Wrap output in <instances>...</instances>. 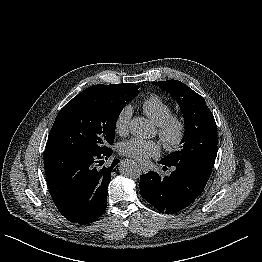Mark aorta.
<instances>
[{"instance_id":"762f6f07","label":"aorta","mask_w":262,"mask_h":262,"mask_svg":"<svg viewBox=\"0 0 262 262\" xmlns=\"http://www.w3.org/2000/svg\"><path fill=\"white\" fill-rule=\"evenodd\" d=\"M129 129L131 134L138 138H150L154 135L153 125L144 117L133 118L130 122ZM118 168L123 176L131 179H137L142 174L139 165L131 159L122 160Z\"/></svg>"}]
</instances>
